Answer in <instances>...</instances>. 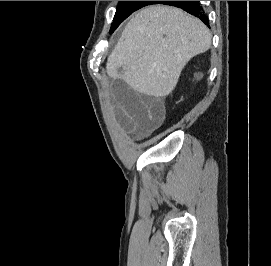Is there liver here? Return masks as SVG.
Listing matches in <instances>:
<instances>
[{
	"mask_svg": "<svg viewBox=\"0 0 271 266\" xmlns=\"http://www.w3.org/2000/svg\"><path fill=\"white\" fill-rule=\"evenodd\" d=\"M210 46V31L198 18L178 8L150 6L127 23L108 57L107 74L141 94L166 97L187 62Z\"/></svg>",
	"mask_w": 271,
	"mask_h": 266,
	"instance_id": "6515ba94",
	"label": "liver"
}]
</instances>
